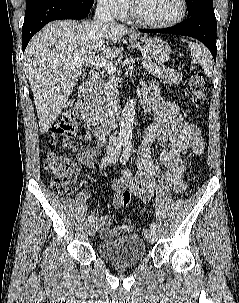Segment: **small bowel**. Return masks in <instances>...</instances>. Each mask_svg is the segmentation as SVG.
Listing matches in <instances>:
<instances>
[{
    "instance_id": "small-bowel-1",
    "label": "small bowel",
    "mask_w": 239,
    "mask_h": 303,
    "mask_svg": "<svg viewBox=\"0 0 239 303\" xmlns=\"http://www.w3.org/2000/svg\"><path fill=\"white\" fill-rule=\"evenodd\" d=\"M147 104L156 112L157 119L145 132V136L137 152V173L135 180L128 171L124 172L113 184L115 196L113 206L120 208L119 200L122 190L127 189L135 196L149 201L159 186L158 179L162 178L171 185L174 193H182L187 186L184 174L186 171L183 155L191 151L195 157L202 155L205 147L204 140L199 130L192 125L185 124L178 109L160 97L157 87L144 90ZM80 140L94 144H82L75 148L74 153L78 161L93 173L96 172L95 158L99 155L101 147L106 143L105 137L97 136L91 131H86ZM154 142L169 143L170 147L160 154L161 161L166 167L162 174L161 167L151 159V146ZM100 236L110 241L117 235L131 231L133 223L125 220L116 227H110L112 218L103 215L99 218Z\"/></svg>"
}]
</instances>
